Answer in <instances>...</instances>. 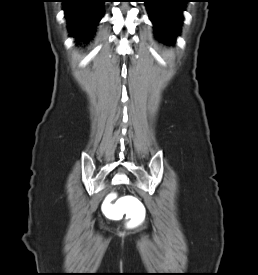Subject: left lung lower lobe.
Segmentation results:
<instances>
[{"label":"left lung lower lobe","mask_w":258,"mask_h":275,"mask_svg":"<svg viewBox=\"0 0 258 275\" xmlns=\"http://www.w3.org/2000/svg\"><path fill=\"white\" fill-rule=\"evenodd\" d=\"M188 0H145L156 36L171 43L179 34Z\"/></svg>","instance_id":"0a47b994"}]
</instances>
